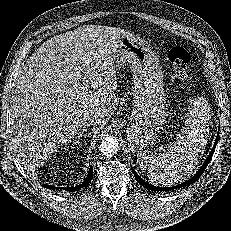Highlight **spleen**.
<instances>
[{
  "instance_id": "obj_1",
  "label": "spleen",
  "mask_w": 231,
  "mask_h": 231,
  "mask_svg": "<svg viewBox=\"0 0 231 231\" xmlns=\"http://www.w3.org/2000/svg\"><path fill=\"white\" fill-rule=\"evenodd\" d=\"M209 114L195 98L185 117V126L177 135L176 141L165 144L157 152L141 151L137 161L148 179L162 186H172L195 168L198 158L204 153L209 132Z\"/></svg>"
}]
</instances>
